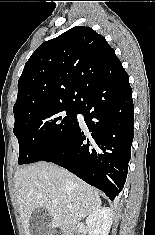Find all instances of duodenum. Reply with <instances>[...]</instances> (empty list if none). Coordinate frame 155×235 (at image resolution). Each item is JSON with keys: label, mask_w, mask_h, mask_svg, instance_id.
I'll use <instances>...</instances> for the list:
<instances>
[{"label": "duodenum", "mask_w": 155, "mask_h": 235, "mask_svg": "<svg viewBox=\"0 0 155 235\" xmlns=\"http://www.w3.org/2000/svg\"><path fill=\"white\" fill-rule=\"evenodd\" d=\"M65 235H81L76 226H69L65 228Z\"/></svg>", "instance_id": "410a0bca"}]
</instances>
